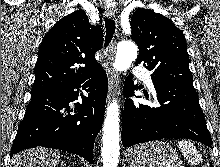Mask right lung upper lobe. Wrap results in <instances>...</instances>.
Segmentation results:
<instances>
[{"label":"right lung upper lobe","mask_w":220,"mask_h":167,"mask_svg":"<svg viewBox=\"0 0 220 167\" xmlns=\"http://www.w3.org/2000/svg\"><path fill=\"white\" fill-rule=\"evenodd\" d=\"M102 44L100 26L91 25L84 11L60 19L41 42L31 93L64 87L96 73L101 65L95 53Z\"/></svg>","instance_id":"cb5924a9"}]
</instances>
